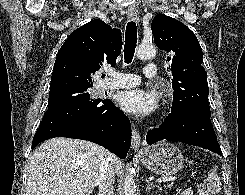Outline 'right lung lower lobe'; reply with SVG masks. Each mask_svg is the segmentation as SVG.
Returning <instances> with one entry per match:
<instances>
[{"instance_id":"obj_1","label":"right lung lower lobe","mask_w":245,"mask_h":195,"mask_svg":"<svg viewBox=\"0 0 245 195\" xmlns=\"http://www.w3.org/2000/svg\"><path fill=\"white\" fill-rule=\"evenodd\" d=\"M60 136L92 141L124 159L131 145V125L112 101L93 99L48 109L34 135L32 148Z\"/></svg>"}]
</instances>
